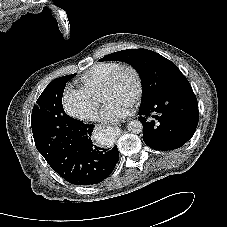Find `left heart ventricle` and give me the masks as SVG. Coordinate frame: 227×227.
Instances as JSON below:
<instances>
[{"instance_id":"1","label":"left heart ventricle","mask_w":227,"mask_h":227,"mask_svg":"<svg viewBox=\"0 0 227 227\" xmlns=\"http://www.w3.org/2000/svg\"><path fill=\"white\" fill-rule=\"evenodd\" d=\"M134 93V76L130 72H124L113 87L101 91V98L105 102L110 100H122L131 102Z\"/></svg>"}]
</instances>
